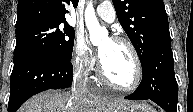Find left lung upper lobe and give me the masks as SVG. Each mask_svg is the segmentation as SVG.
<instances>
[{
  "mask_svg": "<svg viewBox=\"0 0 193 112\" xmlns=\"http://www.w3.org/2000/svg\"><path fill=\"white\" fill-rule=\"evenodd\" d=\"M113 4L141 63L154 46L170 39L163 0H113Z\"/></svg>",
  "mask_w": 193,
  "mask_h": 112,
  "instance_id": "left-lung-upper-lobe-1",
  "label": "left lung upper lobe"
}]
</instances>
